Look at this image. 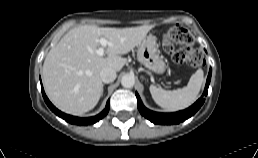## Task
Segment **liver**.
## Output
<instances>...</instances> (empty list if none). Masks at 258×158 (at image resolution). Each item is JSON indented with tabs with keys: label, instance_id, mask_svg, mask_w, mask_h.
Segmentation results:
<instances>
[{
	"label": "liver",
	"instance_id": "liver-1",
	"mask_svg": "<svg viewBox=\"0 0 258 158\" xmlns=\"http://www.w3.org/2000/svg\"><path fill=\"white\" fill-rule=\"evenodd\" d=\"M152 26L101 28L82 25L68 31L49 51L43 64V84L51 102L61 111L81 115L96 106L103 84L100 71H120L127 54L146 37ZM100 38L109 44L107 57L99 56Z\"/></svg>",
	"mask_w": 258,
	"mask_h": 158
}]
</instances>
